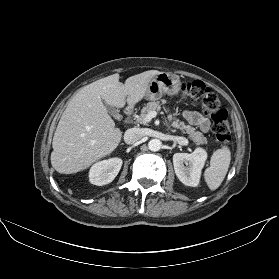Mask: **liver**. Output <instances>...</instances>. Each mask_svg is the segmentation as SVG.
I'll return each mask as SVG.
<instances>
[{"label":"liver","instance_id":"obj_1","mask_svg":"<svg viewBox=\"0 0 279 279\" xmlns=\"http://www.w3.org/2000/svg\"><path fill=\"white\" fill-rule=\"evenodd\" d=\"M160 73L145 71L129 77L124 85L116 73L83 87L69 102L54 133L53 168L62 174L76 173L112 153L122 132L115 128L103 100L117 108L127 103L131 109L146 96L150 82Z\"/></svg>","mask_w":279,"mask_h":279}]
</instances>
